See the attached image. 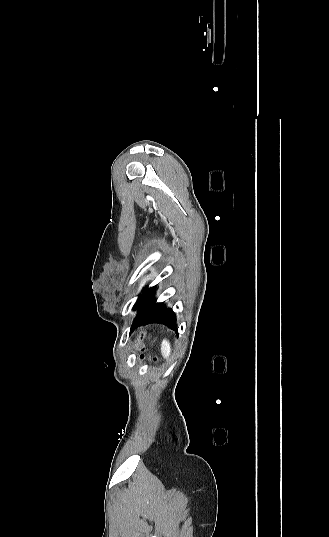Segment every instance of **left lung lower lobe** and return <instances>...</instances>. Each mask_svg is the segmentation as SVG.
I'll return each mask as SVG.
<instances>
[{
	"mask_svg": "<svg viewBox=\"0 0 329 537\" xmlns=\"http://www.w3.org/2000/svg\"><path fill=\"white\" fill-rule=\"evenodd\" d=\"M154 289L155 287L146 289L141 300L134 306L133 309L138 310V313L130 328V332L140 326L159 323L166 325L178 333L175 313L163 303L156 302V299L153 297Z\"/></svg>",
	"mask_w": 329,
	"mask_h": 537,
	"instance_id": "0a47b994",
	"label": "left lung lower lobe"
}]
</instances>
